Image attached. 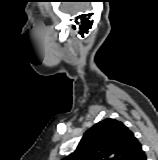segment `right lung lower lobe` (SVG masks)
<instances>
[{
	"label": "right lung lower lobe",
	"instance_id": "right-lung-lower-lobe-1",
	"mask_svg": "<svg viewBox=\"0 0 158 160\" xmlns=\"http://www.w3.org/2000/svg\"><path fill=\"white\" fill-rule=\"evenodd\" d=\"M132 160H146V154L141 150Z\"/></svg>",
	"mask_w": 158,
	"mask_h": 160
}]
</instances>
